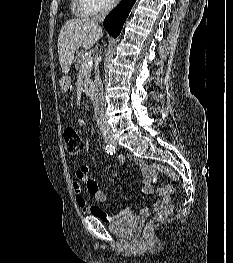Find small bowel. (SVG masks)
<instances>
[{"instance_id": "small-bowel-1", "label": "small bowel", "mask_w": 233, "mask_h": 263, "mask_svg": "<svg viewBox=\"0 0 233 263\" xmlns=\"http://www.w3.org/2000/svg\"><path fill=\"white\" fill-rule=\"evenodd\" d=\"M120 162L123 161V157H120ZM134 162L138 165L142 177H143V188L142 194H149L152 192V170L143 162L134 159ZM76 178L78 181L72 183V190L75 196L77 205L85 212L92 214L104 222H113L122 215H113L106 212L104 209L96 206L89 205L83 194V188L81 183H84L87 192L98 202H104L106 200V194L99 188L97 182L90 176V170L87 165H81L76 170ZM173 178V177H172ZM175 179V178H174ZM157 193L160 195V199L154 204V210H160L164 206L170 203L171 195L174 193V186L171 184L158 188ZM143 215L149 214V209L144 208L141 212Z\"/></svg>"}]
</instances>
